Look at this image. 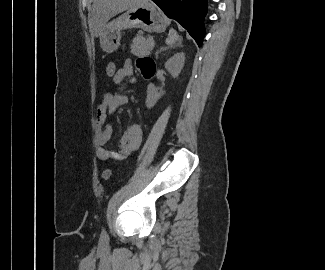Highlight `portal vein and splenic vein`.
Here are the masks:
<instances>
[{
    "mask_svg": "<svg viewBox=\"0 0 325 270\" xmlns=\"http://www.w3.org/2000/svg\"><path fill=\"white\" fill-rule=\"evenodd\" d=\"M154 44H155V43H154V40L151 38V39H150V46H151V47H154Z\"/></svg>",
    "mask_w": 325,
    "mask_h": 270,
    "instance_id": "1",
    "label": "portal vein and splenic vein"
}]
</instances>
